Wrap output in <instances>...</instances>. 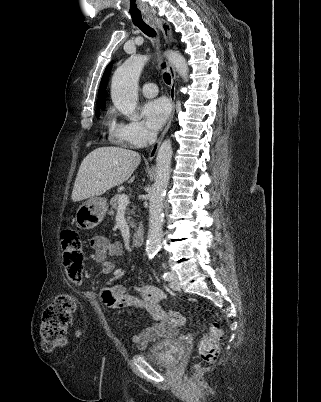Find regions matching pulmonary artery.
Instances as JSON below:
<instances>
[{"mask_svg": "<svg viewBox=\"0 0 321 402\" xmlns=\"http://www.w3.org/2000/svg\"><path fill=\"white\" fill-rule=\"evenodd\" d=\"M141 91L146 97H154L158 94V87L154 83H145L142 86Z\"/></svg>", "mask_w": 321, "mask_h": 402, "instance_id": "obj_1", "label": "pulmonary artery"}]
</instances>
